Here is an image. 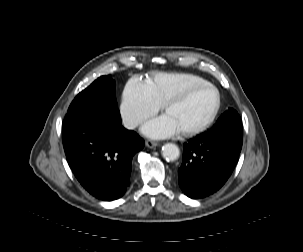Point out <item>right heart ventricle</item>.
<instances>
[{
  "mask_svg": "<svg viewBox=\"0 0 303 252\" xmlns=\"http://www.w3.org/2000/svg\"><path fill=\"white\" fill-rule=\"evenodd\" d=\"M201 82V78L193 75L161 73L145 85L150 97L163 106L167 101L181 97Z\"/></svg>",
  "mask_w": 303,
  "mask_h": 252,
  "instance_id": "1",
  "label": "right heart ventricle"
}]
</instances>
